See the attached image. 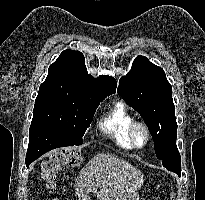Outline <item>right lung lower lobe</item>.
Instances as JSON below:
<instances>
[{
	"instance_id": "right-lung-lower-lobe-1",
	"label": "right lung lower lobe",
	"mask_w": 205,
	"mask_h": 200,
	"mask_svg": "<svg viewBox=\"0 0 205 200\" xmlns=\"http://www.w3.org/2000/svg\"><path fill=\"white\" fill-rule=\"evenodd\" d=\"M29 136L30 141L25 159L27 167L31 162L52 149L75 145L53 127L45 124H34L32 122Z\"/></svg>"
}]
</instances>
